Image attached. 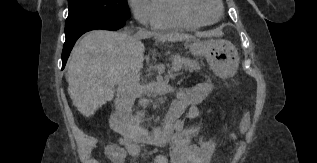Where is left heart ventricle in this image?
I'll return each instance as SVG.
<instances>
[{"label":"left heart ventricle","mask_w":317,"mask_h":163,"mask_svg":"<svg viewBox=\"0 0 317 163\" xmlns=\"http://www.w3.org/2000/svg\"><path fill=\"white\" fill-rule=\"evenodd\" d=\"M189 12L204 20H214L219 15V7L216 0H188Z\"/></svg>","instance_id":"1"}]
</instances>
